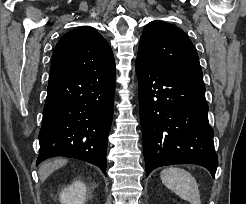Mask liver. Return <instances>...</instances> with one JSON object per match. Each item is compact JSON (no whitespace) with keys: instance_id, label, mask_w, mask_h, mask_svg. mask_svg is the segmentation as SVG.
<instances>
[{"instance_id":"obj_1","label":"liver","mask_w":246,"mask_h":204,"mask_svg":"<svg viewBox=\"0 0 246 204\" xmlns=\"http://www.w3.org/2000/svg\"><path fill=\"white\" fill-rule=\"evenodd\" d=\"M67 163L66 159H55L54 161L46 162L39 168L38 174L41 182H44L49 175L55 170Z\"/></svg>"}]
</instances>
